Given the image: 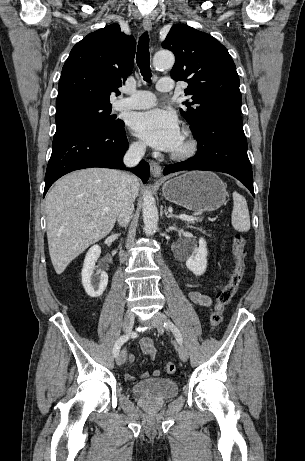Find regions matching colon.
Returning <instances> with one entry per match:
<instances>
[{
  "mask_svg": "<svg viewBox=\"0 0 305 461\" xmlns=\"http://www.w3.org/2000/svg\"><path fill=\"white\" fill-rule=\"evenodd\" d=\"M245 245L246 241L244 237L239 233L235 234L233 239L235 267L229 282L216 294V303L209 317V323L213 329L220 325L223 317V310L225 306L230 302L241 283L245 270ZM165 371L168 374L175 373L176 365L172 362L166 363Z\"/></svg>",
  "mask_w": 305,
  "mask_h": 461,
  "instance_id": "5ec220e1",
  "label": "colon"
}]
</instances>
